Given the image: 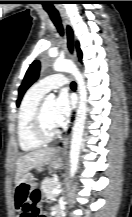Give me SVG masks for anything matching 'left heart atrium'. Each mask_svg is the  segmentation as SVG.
<instances>
[{"mask_svg":"<svg viewBox=\"0 0 132 217\" xmlns=\"http://www.w3.org/2000/svg\"><path fill=\"white\" fill-rule=\"evenodd\" d=\"M73 99L66 92H61L54 103L53 122L56 127L65 124L73 108Z\"/></svg>","mask_w":132,"mask_h":217,"instance_id":"1","label":"left heart atrium"}]
</instances>
